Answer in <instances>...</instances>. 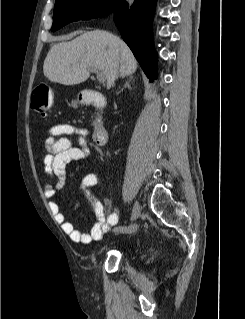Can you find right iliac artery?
Segmentation results:
<instances>
[{"mask_svg": "<svg viewBox=\"0 0 245 319\" xmlns=\"http://www.w3.org/2000/svg\"><path fill=\"white\" fill-rule=\"evenodd\" d=\"M134 227L132 226H119L115 228V231L118 233H132Z\"/></svg>", "mask_w": 245, "mask_h": 319, "instance_id": "right-iliac-artery-1", "label": "right iliac artery"}]
</instances>
